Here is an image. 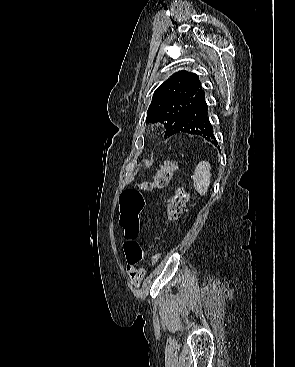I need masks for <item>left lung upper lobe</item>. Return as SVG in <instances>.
<instances>
[{"mask_svg":"<svg viewBox=\"0 0 295 367\" xmlns=\"http://www.w3.org/2000/svg\"><path fill=\"white\" fill-rule=\"evenodd\" d=\"M202 93L198 75L184 70L174 73L154 92L147 121L165 122L164 137L171 136Z\"/></svg>","mask_w":295,"mask_h":367,"instance_id":"left-lung-upper-lobe-1","label":"left lung upper lobe"}]
</instances>
